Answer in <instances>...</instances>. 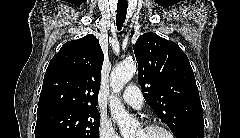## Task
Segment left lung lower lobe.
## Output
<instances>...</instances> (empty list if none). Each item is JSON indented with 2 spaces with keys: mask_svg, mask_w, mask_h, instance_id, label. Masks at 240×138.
Returning a JSON list of instances; mask_svg holds the SVG:
<instances>
[{
  "mask_svg": "<svg viewBox=\"0 0 240 138\" xmlns=\"http://www.w3.org/2000/svg\"><path fill=\"white\" fill-rule=\"evenodd\" d=\"M204 125L196 124L180 133L177 138H203Z\"/></svg>",
  "mask_w": 240,
  "mask_h": 138,
  "instance_id": "left-lung-lower-lobe-1",
  "label": "left lung lower lobe"
}]
</instances>
